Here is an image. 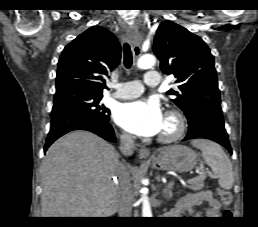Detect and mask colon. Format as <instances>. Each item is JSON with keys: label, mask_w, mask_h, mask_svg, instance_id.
<instances>
[{"label": "colon", "mask_w": 258, "mask_h": 227, "mask_svg": "<svg viewBox=\"0 0 258 227\" xmlns=\"http://www.w3.org/2000/svg\"><path fill=\"white\" fill-rule=\"evenodd\" d=\"M221 201L224 205V211H223V216L224 217H231L232 216V212L230 210V205L232 203L233 200V196L231 194V192L224 190V189H220L218 191Z\"/></svg>", "instance_id": "5ec220e1"}]
</instances>
